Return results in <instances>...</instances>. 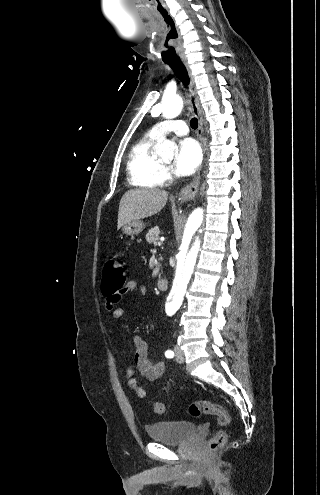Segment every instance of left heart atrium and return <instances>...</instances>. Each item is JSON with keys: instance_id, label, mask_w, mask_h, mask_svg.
Masks as SVG:
<instances>
[{"instance_id": "left-heart-atrium-1", "label": "left heart atrium", "mask_w": 320, "mask_h": 495, "mask_svg": "<svg viewBox=\"0 0 320 495\" xmlns=\"http://www.w3.org/2000/svg\"><path fill=\"white\" fill-rule=\"evenodd\" d=\"M201 150L197 142L187 138L179 143L178 153L174 161V171L180 176L193 174L201 163Z\"/></svg>"}]
</instances>
